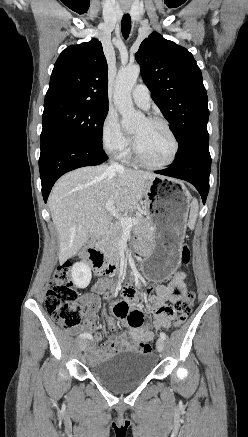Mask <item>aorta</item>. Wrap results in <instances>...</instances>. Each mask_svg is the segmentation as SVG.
<instances>
[{"label": "aorta", "instance_id": "aorta-1", "mask_svg": "<svg viewBox=\"0 0 248 437\" xmlns=\"http://www.w3.org/2000/svg\"><path fill=\"white\" fill-rule=\"evenodd\" d=\"M140 74L138 65L128 66L118 72L114 92V104L122 116L121 124L125 128L135 127L143 114L134 109L131 91Z\"/></svg>", "mask_w": 248, "mask_h": 437}]
</instances>
